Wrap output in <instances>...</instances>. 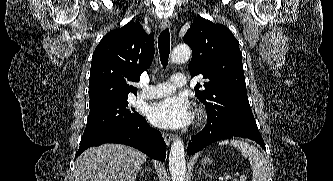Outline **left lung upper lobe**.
<instances>
[{
  "instance_id": "left-lung-upper-lobe-1",
  "label": "left lung upper lobe",
  "mask_w": 333,
  "mask_h": 181,
  "mask_svg": "<svg viewBox=\"0 0 333 181\" xmlns=\"http://www.w3.org/2000/svg\"><path fill=\"white\" fill-rule=\"evenodd\" d=\"M183 40L192 49L191 76L202 74L206 80L194 89L207 112L226 113L237 122L258 129L246 93L239 42L231 31L200 17Z\"/></svg>"
}]
</instances>
